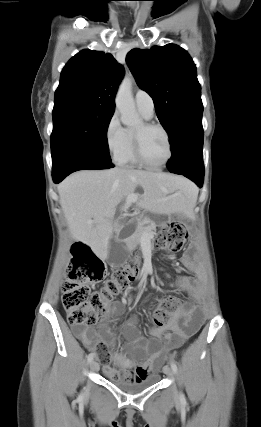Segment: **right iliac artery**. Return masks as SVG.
Returning a JSON list of instances; mask_svg holds the SVG:
<instances>
[{"instance_id":"1","label":"right iliac artery","mask_w":261,"mask_h":427,"mask_svg":"<svg viewBox=\"0 0 261 427\" xmlns=\"http://www.w3.org/2000/svg\"><path fill=\"white\" fill-rule=\"evenodd\" d=\"M93 358H94V354H93V353H90V354L88 355V357H87L88 363H91V362H92V360H93Z\"/></svg>"}]
</instances>
